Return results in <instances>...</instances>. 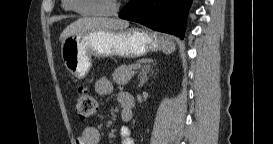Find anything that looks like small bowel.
Listing matches in <instances>:
<instances>
[{
    "instance_id": "small-bowel-1",
    "label": "small bowel",
    "mask_w": 273,
    "mask_h": 144,
    "mask_svg": "<svg viewBox=\"0 0 273 144\" xmlns=\"http://www.w3.org/2000/svg\"><path fill=\"white\" fill-rule=\"evenodd\" d=\"M95 89L100 95H109L112 92L113 86L110 79L107 76H101L95 83ZM121 95V94H120ZM118 96V101L119 97ZM124 110H122V115ZM122 144H133L134 141L131 138L130 129L123 127L121 129ZM100 142V133L98 129L94 127H86L82 134L76 138L74 144H98Z\"/></svg>"
}]
</instances>
